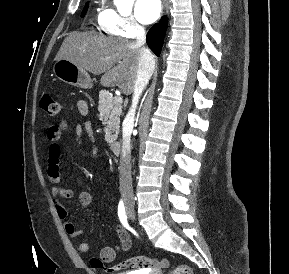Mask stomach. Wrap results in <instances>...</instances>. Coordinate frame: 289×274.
<instances>
[{
    "instance_id": "stomach-1",
    "label": "stomach",
    "mask_w": 289,
    "mask_h": 274,
    "mask_svg": "<svg viewBox=\"0 0 289 274\" xmlns=\"http://www.w3.org/2000/svg\"><path fill=\"white\" fill-rule=\"evenodd\" d=\"M53 73L60 81L79 88L90 89L93 86L89 74L67 59L57 60L53 65Z\"/></svg>"
}]
</instances>
